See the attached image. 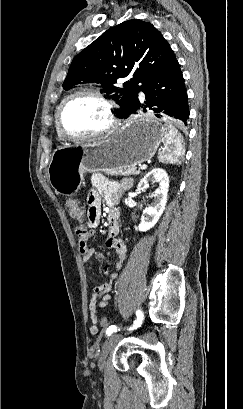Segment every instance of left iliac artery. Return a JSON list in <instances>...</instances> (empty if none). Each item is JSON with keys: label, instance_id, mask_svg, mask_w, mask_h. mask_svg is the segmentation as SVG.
Returning <instances> with one entry per match:
<instances>
[{"label": "left iliac artery", "instance_id": "44dca946", "mask_svg": "<svg viewBox=\"0 0 243 409\" xmlns=\"http://www.w3.org/2000/svg\"><path fill=\"white\" fill-rule=\"evenodd\" d=\"M136 316H137V320L134 321L133 326L130 327L129 330H133V329H136V328H138V327L141 326L142 321H143V317H144V316H143V312H142L140 309H138V310L136 311ZM118 330H120V329H118L116 326H110V327L106 330V335H107V336H110L111 334H113L114 332H117Z\"/></svg>", "mask_w": 243, "mask_h": 409}]
</instances>
